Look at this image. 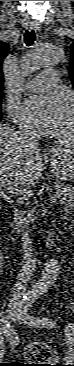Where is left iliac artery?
Here are the masks:
<instances>
[{
    "label": "left iliac artery",
    "mask_w": 74,
    "mask_h": 366,
    "mask_svg": "<svg viewBox=\"0 0 74 366\" xmlns=\"http://www.w3.org/2000/svg\"><path fill=\"white\" fill-rule=\"evenodd\" d=\"M35 301L34 298H30L26 301V304L23 307V311L22 313L25 315V323H28L29 325H33L36 327H54L55 326V322L47 317H42V318H38V317H34L31 315H28L27 312L30 308V305Z\"/></svg>",
    "instance_id": "obj_1"
}]
</instances>
